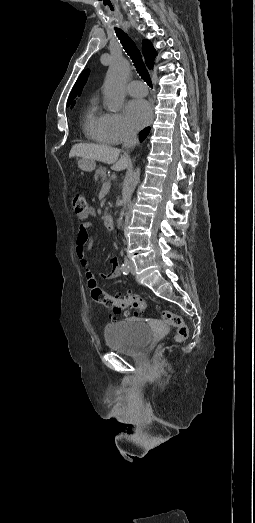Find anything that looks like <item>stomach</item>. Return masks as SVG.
<instances>
[{
  "mask_svg": "<svg viewBox=\"0 0 255 523\" xmlns=\"http://www.w3.org/2000/svg\"><path fill=\"white\" fill-rule=\"evenodd\" d=\"M78 166L83 172H92V170H95L94 160H85V158H82V160H79Z\"/></svg>",
  "mask_w": 255,
  "mask_h": 523,
  "instance_id": "stomach-1",
  "label": "stomach"
}]
</instances>
